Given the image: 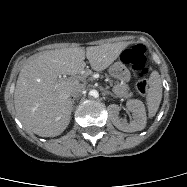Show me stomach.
I'll use <instances>...</instances> for the list:
<instances>
[{
  "label": "stomach",
  "instance_id": "stomach-1",
  "mask_svg": "<svg viewBox=\"0 0 187 187\" xmlns=\"http://www.w3.org/2000/svg\"><path fill=\"white\" fill-rule=\"evenodd\" d=\"M110 75L118 81L127 82L130 80V71L122 61L115 62L109 68Z\"/></svg>",
  "mask_w": 187,
  "mask_h": 187
}]
</instances>
